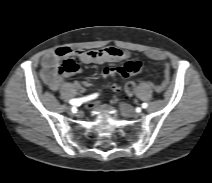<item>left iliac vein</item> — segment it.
Instances as JSON below:
<instances>
[{
	"mask_svg": "<svg viewBox=\"0 0 212 183\" xmlns=\"http://www.w3.org/2000/svg\"><path fill=\"white\" fill-rule=\"evenodd\" d=\"M120 109L122 110L125 116L133 117L136 115V113L132 110V108L125 103L120 104Z\"/></svg>",
	"mask_w": 212,
	"mask_h": 183,
	"instance_id": "left-iliac-vein-1",
	"label": "left iliac vein"
}]
</instances>
